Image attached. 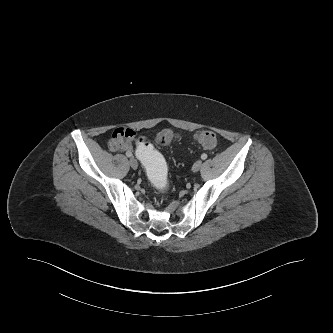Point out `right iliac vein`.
Instances as JSON below:
<instances>
[{
  "instance_id": "1",
  "label": "right iliac vein",
  "mask_w": 333,
  "mask_h": 333,
  "mask_svg": "<svg viewBox=\"0 0 333 333\" xmlns=\"http://www.w3.org/2000/svg\"><path fill=\"white\" fill-rule=\"evenodd\" d=\"M129 164H130L131 168L134 170L137 169V167H138V162L135 158H130Z\"/></svg>"
}]
</instances>
